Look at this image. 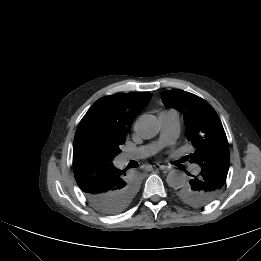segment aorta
Masks as SVG:
<instances>
[{
  "mask_svg": "<svg viewBox=\"0 0 261 261\" xmlns=\"http://www.w3.org/2000/svg\"><path fill=\"white\" fill-rule=\"evenodd\" d=\"M159 122L154 115L144 114L136 122L135 131L143 139H150L158 134ZM167 184L172 188H181L186 183L185 175L177 170L169 172L166 178Z\"/></svg>",
  "mask_w": 261,
  "mask_h": 261,
  "instance_id": "762f6f07",
  "label": "aorta"
}]
</instances>
